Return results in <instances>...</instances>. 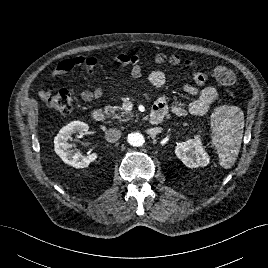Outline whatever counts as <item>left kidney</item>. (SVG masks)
Returning a JSON list of instances; mask_svg holds the SVG:
<instances>
[{"label":"left kidney","instance_id":"1","mask_svg":"<svg viewBox=\"0 0 268 268\" xmlns=\"http://www.w3.org/2000/svg\"><path fill=\"white\" fill-rule=\"evenodd\" d=\"M176 156L189 168H197L209 164L210 159L204 148L201 146L199 136L178 143L175 148Z\"/></svg>","mask_w":268,"mask_h":268}]
</instances>
